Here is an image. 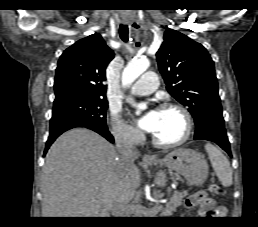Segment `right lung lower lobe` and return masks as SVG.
I'll list each match as a JSON object with an SVG mask.
<instances>
[{
	"mask_svg": "<svg viewBox=\"0 0 258 227\" xmlns=\"http://www.w3.org/2000/svg\"><path fill=\"white\" fill-rule=\"evenodd\" d=\"M75 127H85L88 129H91L100 135H102L104 138H106L111 143L114 142L113 136L110 134L107 128H95L88 126L78 120H74L71 118L66 117H56L52 118L50 121V134L46 143V148L44 151V155L46 154L47 150L49 149L50 145L55 141V139L62 134L63 132L75 128Z\"/></svg>",
	"mask_w": 258,
	"mask_h": 227,
	"instance_id": "1",
	"label": "right lung lower lobe"
}]
</instances>
